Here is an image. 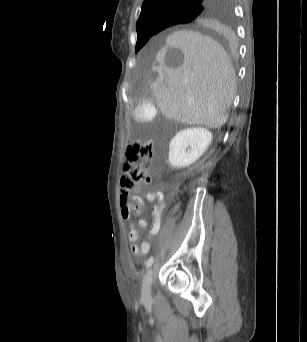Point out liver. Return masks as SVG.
Segmentation results:
<instances>
[{"instance_id": "liver-1", "label": "liver", "mask_w": 307, "mask_h": 342, "mask_svg": "<svg viewBox=\"0 0 307 342\" xmlns=\"http://www.w3.org/2000/svg\"><path fill=\"white\" fill-rule=\"evenodd\" d=\"M150 74L157 108L174 122L222 128L235 98L236 78L224 48L200 32L179 30L159 44Z\"/></svg>"}]
</instances>
